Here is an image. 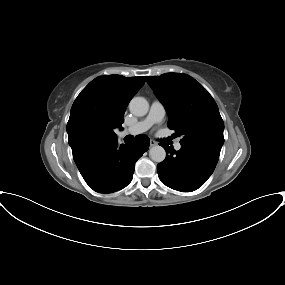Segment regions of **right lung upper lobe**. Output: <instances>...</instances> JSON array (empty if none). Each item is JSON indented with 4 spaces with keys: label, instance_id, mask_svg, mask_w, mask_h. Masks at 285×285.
<instances>
[{
    "label": "right lung upper lobe",
    "instance_id": "1",
    "mask_svg": "<svg viewBox=\"0 0 285 285\" xmlns=\"http://www.w3.org/2000/svg\"><path fill=\"white\" fill-rule=\"evenodd\" d=\"M144 83V76L107 75L95 78L81 91L67 123L73 157L116 139L114 129H122L126 107Z\"/></svg>",
    "mask_w": 285,
    "mask_h": 285
}]
</instances>
